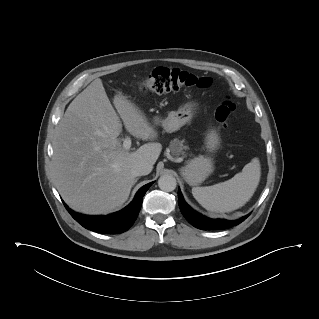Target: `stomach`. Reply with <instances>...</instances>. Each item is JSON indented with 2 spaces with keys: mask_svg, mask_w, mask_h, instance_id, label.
Here are the masks:
<instances>
[{
  "mask_svg": "<svg viewBox=\"0 0 319 319\" xmlns=\"http://www.w3.org/2000/svg\"><path fill=\"white\" fill-rule=\"evenodd\" d=\"M197 109L195 102H187L179 107L177 111H172L164 120L155 119L156 123L161 122L164 130L168 133L179 130L188 123L194 116ZM220 146V136L216 129H210L205 137L206 149L213 153ZM214 171V161L210 156L200 155L186 162L180 169L183 179L191 186H197L206 180Z\"/></svg>",
  "mask_w": 319,
  "mask_h": 319,
  "instance_id": "0dacf381",
  "label": "stomach"
}]
</instances>
